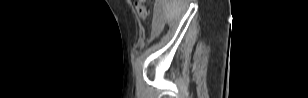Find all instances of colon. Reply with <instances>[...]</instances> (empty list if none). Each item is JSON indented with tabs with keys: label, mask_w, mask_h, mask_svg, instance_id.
Segmentation results:
<instances>
[{
	"label": "colon",
	"mask_w": 308,
	"mask_h": 98,
	"mask_svg": "<svg viewBox=\"0 0 308 98\" xmlns=\"http://www.w3.org/2000/svg\"><path fill=\"white\" fill-rule=\"evenodd\" d=\"M135 8L141 18L145 19L148 16V7L144 0L136 1Z\"/></svg>",
	"instance_id": "obj_1"
}]
</instances>
